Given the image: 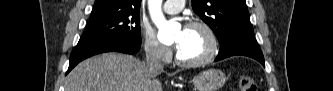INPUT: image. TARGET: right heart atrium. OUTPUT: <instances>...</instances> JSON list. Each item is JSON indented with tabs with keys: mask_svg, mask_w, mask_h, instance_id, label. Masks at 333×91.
<instances>
[{
	"mask_svg": "<svg viewBox=\"0 0 333 91\" xmlns=\"http://www.w3.org/2000/svg\"><path fill=\"white\" fill-rule=\"evenodd\" d=\"M141 37L145 54L150 60L165 63L170 59V48L160 42L153 31L147 27H143Z\"/></svg>",
	"mask_w": 333,
	"mask_h": 91,
	"instance_id": "1",
	"label": "right heart atrium"
}]
</instances>
